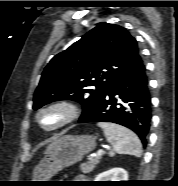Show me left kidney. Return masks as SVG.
Returning a JSON list of instances; mask_svg holds the SVG:
<instances>
[{
  "mask_svg": "<svg viewBox=\"0 0 178 186\" xmlns=\"http://www.w3.org/2000/svg\"><path fill=\"white\" fill-rule=\"evenodd\" d=\"M95 181H128V173L123 168H113L98 174Z\"/></svg>",
  "mask_w": 178,
  "mask_h": 186,
  "instance_id": "obj_1",
  "label": "left kidney"
}]
</instances>
